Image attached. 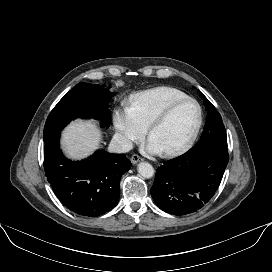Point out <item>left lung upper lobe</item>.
Instances as JSON below:
<instances>
[{"instance_id": "left-lung-upper-lobe-1", "label": "left lung upper lobe", "mask_w": 272, "mask_h": 272, "mask_svg": "<svg viewBox=\"0 0 272 272\" xmlns=\"http://www.w3.org/2000/svg\"><path fill=\"white\" fill-rule=\"evenodd\" d=\"M199 95L204 101L208 114L204 131L197 146H211L213 148H219L227 151V136L222 118L217 112L216 108L200 91Z\"/></svg>"}]
</instances>
